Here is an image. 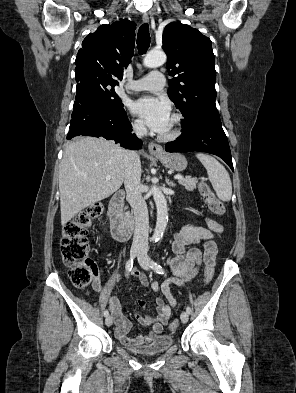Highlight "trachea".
Masks as SVG:
<instances>
[{"instance_id":"1","label":"trachea","mask_w":296,"mask_h":393,"mask_svg":"<svg viewBox=\"0 0 296 393\" xmlns=\"http://www.w3.org/2000/svg\"><path fill=\"white\" fill-rule=\"evenodd\" d=\"M150 45V34L148 24H143L140 26L137 35V48L140 55L144 54Z\"/></svg>"}]
</instances>
